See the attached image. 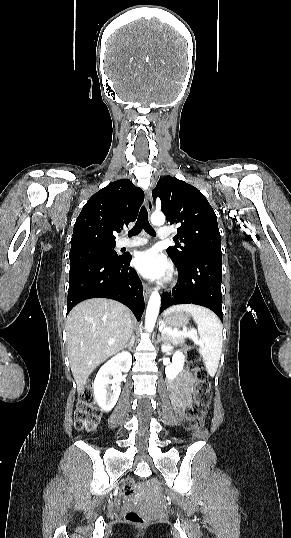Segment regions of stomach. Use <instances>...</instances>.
Here are the masks:
<instances>
[{"label":"stomach","instance_id":"obj_1","mask_svg":"<svg viewBox=\"0 0 291 538\" xmlns=\"http://www.w3.org/2000/svg\"><path fill=\"white\" fill-rule=\"evenodd\" d=\"M189 322V314L184 311H177L169 314H164L163 325L178 330L184 328Z\"/></svg>","mask_w":291,"mask_h":538}]
</instances>
